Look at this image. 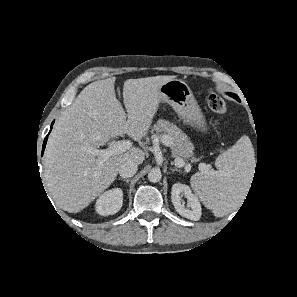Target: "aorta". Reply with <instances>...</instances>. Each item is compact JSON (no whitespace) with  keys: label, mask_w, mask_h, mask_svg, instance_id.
<instances>
[{"label":"aorta","mask_w":297,"mask_h":297,"mask_svg":"<svg viewBox=\"0 0 297 297\" xmlns=\"http://www.w3.org/2000/svg\"><path fill=\"white\" fill-rule=\"evenodd\" d=\"M162 178V174H161V171L159 169H152L149 174H148V179L150 182H159Z\"/></svg>","instance_id":"762f6f07"}]
</instances>
